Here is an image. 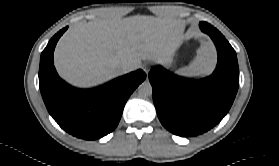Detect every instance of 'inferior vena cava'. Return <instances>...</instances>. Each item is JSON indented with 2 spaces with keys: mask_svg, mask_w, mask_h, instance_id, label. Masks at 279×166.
<instances>
[{
  "mask_svg": "<svg viewBox=\"0 0 279 166\" xmlns=\"http://www.w3.org/2000/svg\"><path fill=\"white\" fill-rule=\"evenodd\" d=\"M136 68H137V66L134 64H124L120 67L119 72L121 74H126L128 72L135 70Z\"/></svg>",
  "mask_w": 279,
  "mask_h": 166,
  "instance_id": "obj_1",
  "label": "inferior vena cava"
}]
</instances>
